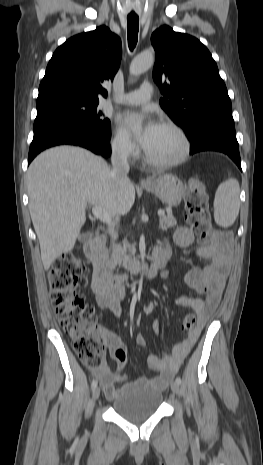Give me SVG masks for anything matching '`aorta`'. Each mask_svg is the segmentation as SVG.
Instances as JSON below:
<instances>
[{
    "label": "aorta",
    "mask_w": 263,
    "mask_h": 465,
    "mask_svg": "<svg viewBox=\"0 0 263 465\" xmlns=\"http://www.w3.org/2000/svg\"><path fill=\"white\" fill-rule=\"evenodd\" d=\"M154 55L151 52H143L136 56L129 67L131 75L138 76L147 71L154 64Z\"/></svg>",
    "instance_id": "obj_1"
}]
</instances>
